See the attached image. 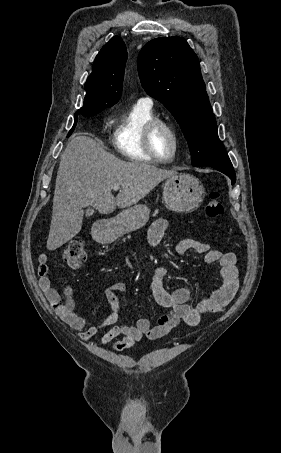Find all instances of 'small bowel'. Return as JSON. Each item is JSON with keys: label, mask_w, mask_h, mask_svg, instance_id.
<instances>
[{"label": "small bowel", "mask_w": 281, "mask_h": 453, "mask_svg": "<svg viewBox=\"0 0 281 453\" xmlns=\"http://www.w3.org/2000/svg\"><path fill=\"white\" fill-rule=\"evenodd\" d=\"M167 230V220H156L148 231L149 245L153 248L158 246ZM175 250L181 255L189 251L203 254L207 264H217L220 267L222 283L219 290L211 298L192 307L188 303L191 294L190 288L181 287L173 292H168L164 288L163 280L170 274L171 269L167 266L158 267L151 279V291L155 301L169 309V312L156 325H152L150 320L146 318L133 325H124L120 321L119 294L127 290V285L124 282L114 283L106 288L105 298L109 303L110 314L103 323L92 328H86L87 320L76 312L73 285L67 284L64 287L65 301L62 304L59 303L60 296L52 285L49 276L50 264L46 255L40 257L39 283L48 301L52 304L53 311L70 327L78 330V336L81 340L94 338L104 328L109 327L110 329L98 338L97 343L105 345L122 335L123 338L115 341L112 347L114 350L124 351L140 341L143 336L148 339H159L169 334L180 323L188 326L197 325L202 317L209 313H223L235 297L239 288V278L234 254L221 253L210 249L205 242L189 237L178 239Z\"/></svg>", "instance_id": "c3829d8e"}]
</instances>
